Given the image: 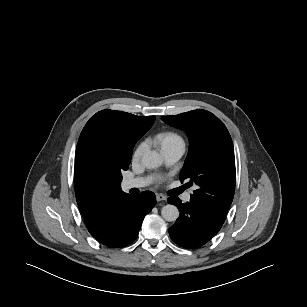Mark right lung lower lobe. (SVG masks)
I'll list each match as a JSON object with an SVG mask.
<instances>
[{"label":"right lung lower lobe","instance_id":"98d812e1","mask_svg":"<svg viewBox=\"0 0 307 307\" xmlns=\"http://www.w3.org/2000/svg\"><path fill=\"white\" fill-rule=\"evenodd\" d=\"M155 202V195L150 191L130 195L122 201L107 229L94 238L112 248L129 245L137 238L142 221Z\"/></svg>","mask_w":307,"mask_h":307}]
</instances>
